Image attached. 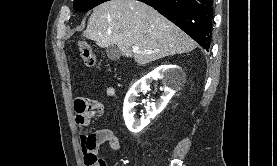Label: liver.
Segmentation results:
<instances>
[{
    "label": "liver",
    "mask_w": 277,
    "mask_h": 166,
    "mask_svg": "<svg viewBox=\"0 0 277 166\" xmlns=\"http://www.w3.org/2000/svg\"><path fill=\"white\" fill-rule=\"evenodd\" d=\"M84 36L99 47L116 45L140 65L196 48L179 27L137 0H109L93 9ZM136 47L139 53H133Z\"/></svg>",
    "instance_id": "1"
}]
</instances>
